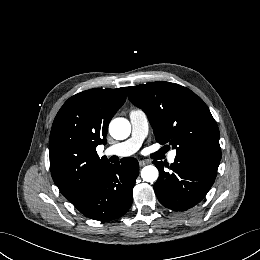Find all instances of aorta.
Listing matches in <instances>:
<instances>
[{"instance_id":"aorta-1","label":"aorta","mask_w":260,"mask_h":260,"mask_svg":"<svg viewBox=\"0 0 260 260\" xmlns=\"http://www.w3.org/2000/svg\"><path fill=\"white\" fill-rule=\"evenodd\" d=\"M109 132L114 139H126L131 132V125L125 118H115L109 124ZM158 169L153 165L145 166L141 170V177L146 182H155L158 179Z\"/></svg>"}]
</instances>
